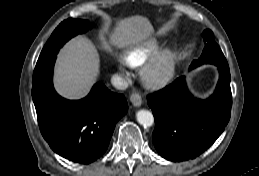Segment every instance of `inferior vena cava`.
<instances>
[{
	"label": "inferior vena cava",
	"mask_w": 259,
	"mask_h": 176,
	"mask_svg": "<svg viewBox=\"0 0 259 176\" xmlns=\"http://www.w3.org/2000/svg\"><path fill=\"white\" fill-rule=\"evenodd\" d=\"M112 85L119 90H125L128 87V81L126 77L115 74L111 78Z\"/></svg>",
	"instance_id": "obj_1"
}]
</instances>
